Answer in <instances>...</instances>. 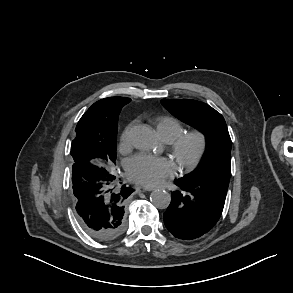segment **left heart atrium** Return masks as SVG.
Returning a JSON list of instances; mask_svg holds the SVG:
<instances>
[{"mask_svg":"<svg viewBox=\"0 0 293 293\" xmlns=\"http://www.w3.org/2000/svg\"><path fill=\"white\" fill-rule=\"evenodd\" d=\"M127 172L133 181L153 186L173 173V163L164 157L138 154L128 160Z\"/></svg>","mask_w":293,"mask_h":293,"instance_id":"1","label":"left heart atrium"}]
</instances>
